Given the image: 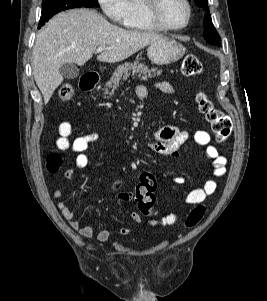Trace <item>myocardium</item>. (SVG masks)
<instances>
[{
	"instance_id": "f54148a6",
	"label": "myocardium",
	"mask_w": 267,
	"mask_h": 301,
	"mask_svg": "<svg viewBox=\"0 0 267 301\" xmlns=\"http://www.w3.org/2000/svg\"><path fill=\"white\" fill-rule=\"evenodd\" d=\"M145 11L148 18L159 28L168 31H178L186 28L192 18V7L189 0H182L186 10H187V18L185 22L181 25H170L168 24L161 16V6L163 0H144Z\"/></svg>"
}]
</instances>
